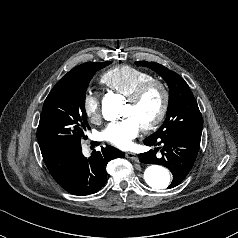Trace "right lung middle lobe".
<instances>
[{"label": "right lung middle lobe", "mask_w": 238, "mask_h": 238, "mask_svg": "<svg viewBox=\"0 0 238 238\" xmlns=\"http://www.w3.org/2000/svg\"><path fill=\"white\" fill-rule=\"evenodd\" d=\"M111 62H90L82 69L66 74L48 94L40 116L37 139L42 155L81 144L89 129L85 111V93L96 71Z\"/></svg>", "instance_id": "1"}]
</instances>
